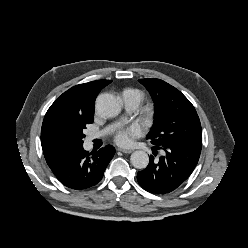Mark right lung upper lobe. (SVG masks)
Returning <instances> with one entry per match:
<instances>
[{"label":"right lung upper lobe","mask_w":248,"mask_h":248,"mask_svg":"<svg viewBox=\"0 0 248 248\" xmlns=\"http://www.w3.org/2000/svg\"><path fill=\"white\" fill-rule=\"evenodd\" d=\"M111 82L112 80H96L76 85L50 106L41 128V145L49 167L78 147L67 135V124L77 117L93 116L98 93Z\"/></svg>","instance_id":"obj_1"}]
</instances>
